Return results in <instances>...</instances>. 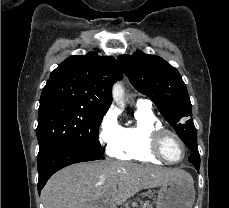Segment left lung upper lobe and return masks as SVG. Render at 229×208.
Here are the masks:
<instances>
[{"label": "left lung upper lobe", "mask_w": 229, "mask_h": 208, "mask_svg": "<svg viewBox=\"0 0 229 208\" xmlns=\"http://www.w3.org/2000/svg\"><path fill=\"white\" fill-rule=\"evenodd\" d=\"M119 63L131 84L151 98L182 141L197 139L189 94L176 68L141 51L120 56Z\"/></svg>", "instance_id": "1"}]
</instances>
